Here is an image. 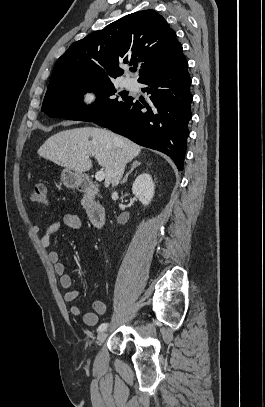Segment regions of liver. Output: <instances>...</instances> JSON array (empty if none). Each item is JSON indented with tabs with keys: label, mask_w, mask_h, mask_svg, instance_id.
I'll return each mask as SVG.
<instances>
[{
	"label": "liver",
	"mask_w": 265,
	"mask_h": 407,
	"mask_svg": "<svg viewBox=\"0 0 265 407\" xmlns=\"http://www.w3.org/2000/svg\"><path fill=\"white\" fill-rule=\"evenodd\" d=\"M141 149L136 143L106 129L82 127L64 130L49 137L38 149V154L79 173L91 169L89 157L94 156L105 171V186L108 187L117 151L128 163L140 154Z\"/></svg>",
	"instance_id": "obj_1"
}]
</instances>
